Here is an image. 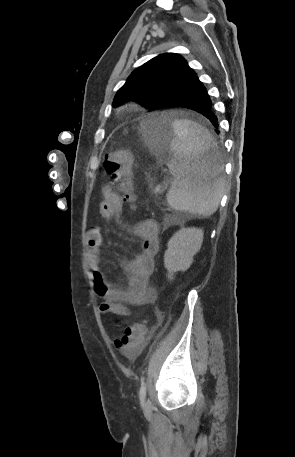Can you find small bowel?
<instances>
[{"label": "small bowel", "mask_w": 295, "mask_h": 457, "mask_svg": "<svg viewBox=\"0 0 295 457\" xmlns=\"http://www.w3.org/2000/svg\"><path fill=\"white\" fill-rule=\"evenodd\" d=\"M103 201L99 207V214L103 220L118 216L122 211V200L114 184L104 186L102 190ZM133 232L141 243V252L133 259L123 260L122 267L128 274L126 288H118L110 284L103 275L100 265V248L103 236L99 227L91 228L87 233L88 265L91 272L94 291L102 298L99 309L102 314H115L121 317L131 316L128 305L144 306L155 302L157 293L149 285V278L154 270V259L157 255L159 242V229L154 220L146 219L139 222ZM139 348L126 356L135 357Z\"/></svg>", "instance_id": "small-bowel-1"}]
</instances>
